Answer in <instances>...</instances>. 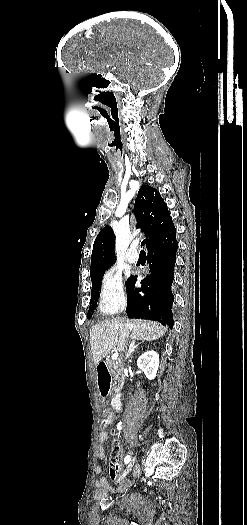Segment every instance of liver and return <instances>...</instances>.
I'll list each match as a JSON object with an SVG mask.
<instances>
[{
	"mask_svg": "<svg viewBox=\"0 0 247 525\" xmlns=\"http://www.w3.org/2000/svg\"><path fill=\"white\" fill-rule=\"evenodd\" d=\"M167 327L156 321H141V319H109L93 325L90 329L91 351L95 365L105 359L111 351L122 353L126 347L125 335L130 333L131 339L137 341H157L164 337Z\"/></svg>",
	"mask_w": 247,
	"mask_h": 525,
	"instance_id": "6515ba94",
	"label": "liver"
}]
</instances>
